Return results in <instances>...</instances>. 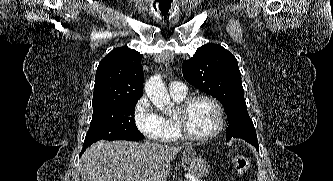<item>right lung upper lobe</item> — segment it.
<instances>
[{
	"instance_id": "right-lung-upper-lobe-1",
	"label": "right lung upper lobe",
	"mask_w": 333,
	"mask_h": 181,
	"mask_svg": "<svg viewBox=\"0 0 333 181\" xmlns=\"http://www.w3.org/2000/svg\"><path fill=\"white\" fill-rule=\"evenodd\" d=\"M142 55L130 48H117L99 63L94 85L93 108L139 100L143 95Z\"/></svg>"
}]
</instances>
